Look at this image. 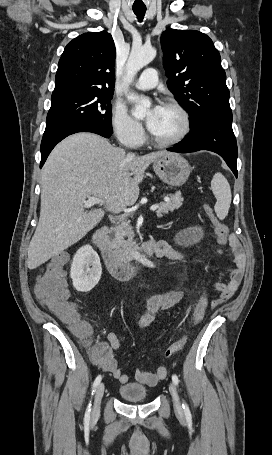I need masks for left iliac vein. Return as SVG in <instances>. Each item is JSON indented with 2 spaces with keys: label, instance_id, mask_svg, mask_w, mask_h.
<instances>
[{
  "label": "left iliac vein",
  "instance_id": "obj_1",
  "mask_svg": "<svg viewBox=\"0 0 272 455\" xmlns=\"http://www.w3.org/2000/svg\"><path fill=\"white\" fill-rule=\"evenodd\" d=\"M169 391H170L172 399H173L175 410L177 412H181L182 411V407H181V403H180V400H179L178 392L176 390V387H175L174 383H170Z\"/></svg>",
  "mask_w": 272,
  "mask_h": 455
}]
</instances>
